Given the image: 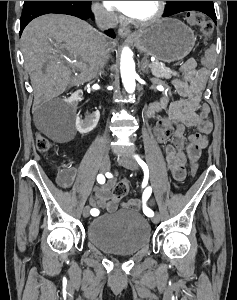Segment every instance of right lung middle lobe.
Returning <instances> with one entry per match:
<instances>
[{"mask_svg": "<svg viewBox=\"0 0 237 300\" xmlns=\"http://www.w3.org/2000/svg\"><path fill=\"white\" fill-rule=\"evenodd\" d=\"M49 2H53V1H25L23 5V11H27L38 5L49 3Z\"/></svg>", "mask_w": 237, "mask_h": 300, "instance_id": "obj_1", "label": "right lung middle lobe"}]
</instances>
